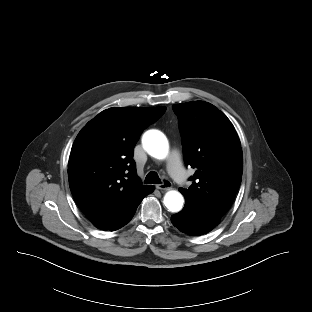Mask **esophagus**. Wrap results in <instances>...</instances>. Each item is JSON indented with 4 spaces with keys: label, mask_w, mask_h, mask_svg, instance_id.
<instances>
[{
    "label": "esophagus",
    "mask_w": 312,
    "mask_h": 312,
    "mask_svg": "<svg viewBox=\"0 0 312 312\" xmlns=\"http://www.w3.org/2000/svg\"><path fill=\"white\" fill-rule=\"evenodd\" d=\"M172 187V183L169 180H164L161 184H157L156 188L159 190H167Z\"/></svg>",
    "instance_id": "1"
}]
</instances>
